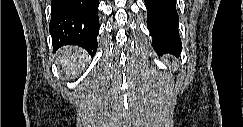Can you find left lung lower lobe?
<instances>
[{"instance_id":"obj_1","label":"left lung lower lobe","mask_w":243,"mask_h":127,"mask_svg":"<svg viewBox=\"0 0 243 127\" xmlns=\"http://www.w3.org/2000/svg\"><path fill=\"white\" fill-rule=\"evenodd\" d=\"M147 27L153 38V48L158 54H180L182 44L178 32L176 0H145Z\"/></svg>"}]
</instances>
